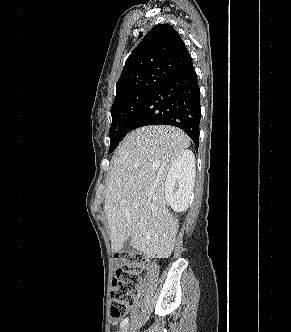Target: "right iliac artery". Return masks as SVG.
<instances>
[{"label": "right iliac artery", "mask_w": 291, "mask_h": 332, "mask_svg": "<svg viewBox=\"0 0 291 332\" xmlns=\"http://www.w3.org/2000/svg\"><path fill=\"white\" fill-rule=\"evenodd\" d=\"M128 321H129L128 318L123 319L121 324H120V328H123L125 325H127Z\"/></svg>", "instance_id": "right-iliac-artery-1"}]
</instances>
